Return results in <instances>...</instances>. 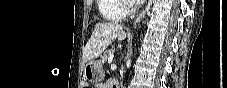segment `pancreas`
I'll list each match as a JSON object with an SVG mask.
<instances>
[{"label":"pancreas","instance_id":"cf45deb5","mask_svg":"<svg viewBox=\"0 0 227 88\" xmlns=\"http://www.w3.org/2000/svg\"><path fill=\"white\" fill-rule=\"evenodd\" d=\"M110 56H112V51L111 50L105 51L102 55V61L106 62Z\"/></svg>","mask_w":227,"mask_h":88}]
</instances>
